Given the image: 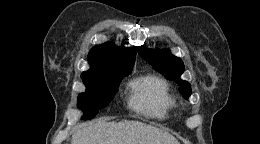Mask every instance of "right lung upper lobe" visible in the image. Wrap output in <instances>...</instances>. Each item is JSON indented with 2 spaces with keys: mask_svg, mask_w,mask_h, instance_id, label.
Here are the masks:
<instances>
[{
  "mask_svg": "<svg viewBox=\"0 0 260 144\" xmlns=\"http://www.w3.org/2000/svg\"><path fill=\"white\" fill-rule=\"evenodd\" d=\"M136 52V47H117L111 42L96 46L88 54L90 69L81 76L132 71Z\"/></svg>",
  "mask_w": 260,
  "mask_h": 144,
  "instance_id": "right-lung-upper-lobe-1",
  "label": "right lung upper lobe"
}]
</instances>
